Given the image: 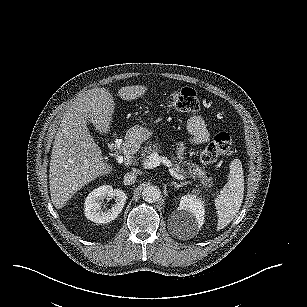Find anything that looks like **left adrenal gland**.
<instances>
[{"label": "left adrenal gland", "mask_w": 307, "mask_h": 307, "mask_svg": "<svg viewBox=\"0 0 307 307\" xmlns=\"http://www.w3.org/2000/svg\"><path fill=\"white\" fill-rule=\"evenodd\" d=\"M171 184L174 186L175 189H179L180 187H183L187 184H191V182L190 181H185V182H180V183L171 182Z\"/></svg>", "instance_id": "obj_1"}]
</instances>
